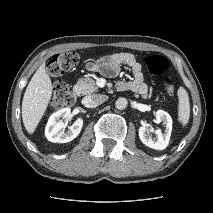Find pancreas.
Masks as SVG:
<instances>
[{"label": "pancreas", "mask_w": 213, "mask_h": 213, "mask_svg": "<svg viewBox=\"0 0 213 213\" xmlns=\"http://www.w3.org/2000/svg\"><path fill=\"white\" fill-rule=\"evenodd\" d=\"M76 86L81 89V93L84 95L94 93L98 90V86L91 78H80Z\"/></svg>", "instance_id": "cf45deb5"}]
</instances>
